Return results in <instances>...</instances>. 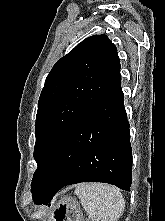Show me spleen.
<instances>
[{"mask_svg": "<svg viewBox=\"0 0 165 221\" xmlns=\"http://www.w3.org/2000/svg\"><path fill=\"white\" fill-rule=\"evenodd\" d=\"M75 194L92 221H117L124 211V198L115 186L83 183L76 186Z\"/></svg>", "mask_w": 165, "mask_h": 221, "instance_id": "obj_1", "label": "spleen"}]
</instances>
